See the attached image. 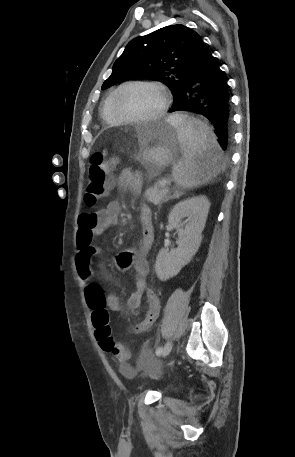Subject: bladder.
<instances>
[{"label": "bladder", "mask_w": 295, "mask_h": 457, "mask_svg": "<svg viewBox=\"0 0 295 457\" xmlns=\"http://www.w3.org/2000/svg\"><path fill=\"white\" fill-rule=\"evenodd\" d=\"M146 350L148 351L149 349L147 348ZM155 358H156V355L154 352H147L145 354L146 360L137 361V368L138 369H152V368L159 369L161 367V362L159 360H155ZM160 371L163 372L164 370L161 369ZM168 371L171 372L172 370L169 369ZM125 373L128 377H132V372L127 371Z\"/></svg>", "instance_id": "bladder-1"}]
</instances>
